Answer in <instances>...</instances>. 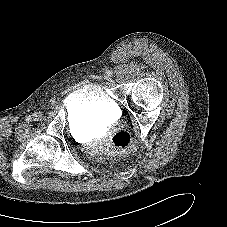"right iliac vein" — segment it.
<instances>
[{
    "instance_id": "63e3f726",
    "label": "right iliac vein",
    "mask_w": 227,
    "mask_h": 227,
    "mask_svg": "<svg viewBox=\"0 0 227 227\" xmlns=\"http://www.w3.org/2000/svg\"><path fill=\"white\" fill-rule=\"evenodd\" d=\"M42 117H43V115H42L41 112H36V113L34 114V119H35V120H41Z\"/></svg>"
}]
</instances>
